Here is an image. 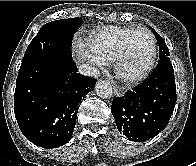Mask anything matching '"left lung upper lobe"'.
Segmentation results:
<instances>
[{"mask_svg":"<svg viewBox=\"0 0 196 166\" xmlns=\"http://www.w3.org/2000/svg\"><path fill=\"white\" fill-rule=\"evenodd\" d=\"M152 31L157 39L158 46L160 47L159 48L160 58H163L165 56H169L170 53H169L168 47H167L165 41L163 40V38L154 29H152Z\"/></svg>","mask_w":196,"mask_h":166,"instance_id":"obj_1","label":"left lung upper lobe"}]
</instances>
